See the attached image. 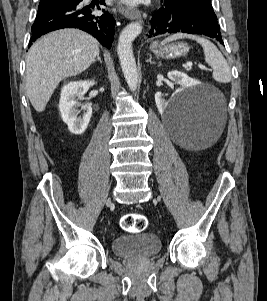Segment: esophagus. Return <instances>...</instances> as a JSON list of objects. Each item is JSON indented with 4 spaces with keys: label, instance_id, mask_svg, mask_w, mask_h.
I'll use <instances>...</instances> for the list:
<instances>
[{
    "label": "esophagus",
    "instance_id": "1",
    "mask_svg": "<svg viewBox=\"0 0 267 301\" xmlns=\"http://www.w3.org/2000/svg\"><path fill=\"white\" fill-rule=\"evenodd\" d=\"M122 14L130 19V20H139L141 21V13L138 10L135 9H129V8H123L121 10Z\"/></svg>",
    "mask_w": 267,
    "mask_h": 301
}]
</instances>
